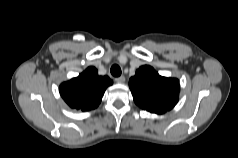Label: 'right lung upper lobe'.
Listing matches in <instances>:
<instances>
[{
	"label": "right lung upper lobe",
	"mask_w": 238,
	"mask_h": 158,
	"mask_svg": "<svg viewBox=\"0 0 238 158\" xmlns=\"http://www.w3.org/2000/svg\"><path fill=\"white\" fill-rule=\"evenodd\" d=\"M112 83L108 76H99L96 68L88 67L78 77L62 83L59 90L71 108L88 111L98 107Z\"/></svg>",
	"instance_id": "1"
}]
</instances>
